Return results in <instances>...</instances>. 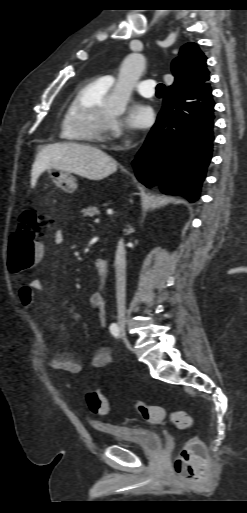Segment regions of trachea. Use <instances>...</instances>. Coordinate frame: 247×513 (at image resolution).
<instances>
[{"mask_svg":"<svg viewBox=\"0 0 247 513\" xmlns=\"http://www.w3.org/2000/svg\"><path fill=\"white\" fill-rule=\"evenodd\" d=\"M156 89H157V94L158 95H163L164 94V90H165V85L164 84H158Z\"/></svg>","mask_w":247,"mask_h":513,"instance_id":"obj_1","label":"trachea"}]
</instances>
